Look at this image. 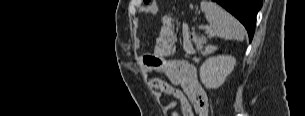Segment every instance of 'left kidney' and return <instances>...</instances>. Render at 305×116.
<instances>
[{"mask_svg":"<svg viewBox=\"0 0 305 116\" xmlns=\"http://www.w3.org/2000/svg\"><path fill=\"white\" fill-rule=\"evenodd\" d=\"M235 65L236 59L229 55L209 57L199 70L201 82L208 89H217L225 82Z\"/></svg>","mask_w":305,"mask_h":116,"instance_id":"obj_1","label":"left kidney"}]
</instances>
